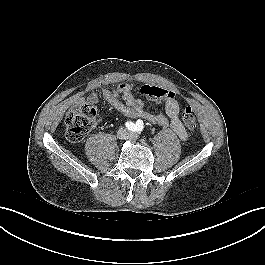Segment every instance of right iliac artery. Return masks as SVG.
<instances>
[{
	"instance_id": "right-iliac-artery-1",
	"label": "right iliac artery",
	"mask_w": 265,
	"mask_h": 265,
	"mask_svg": "<svg viewBox=\"0 0 265 265\" xmlns=\"http://www.w3.org/2000/svg\"><path fill=\"white\" fill-rule=\"evenodd\" d=\"M125 125L129 130L136 131V124L134 122L127 121Z\"/></svg>"
}]
</instances>
